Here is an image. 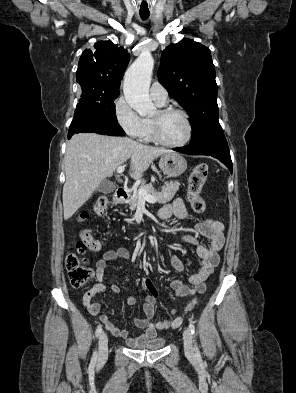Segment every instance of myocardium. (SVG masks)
I'll use <instances>...</instances> for the list:
<instances>
[{
    "label": "myocardium",
    "mask_w": 296,
    "mask_h": 393,
    "mask_svg": "<svg viewBox=\"0 0 296 393\" xmlns=\"http://www.w3.org/2000/svg\"><path fill=\"white\" fill-rule=\"evenodd\" d=\"M171 113H178V114L183 116V118H184V120L186 122V125H187L186 137L182 141L177 142V143H170V142L165 141L161 137V134H160V122H159V119L152 118L151 119V124H152L153 139H154V141L156 143H158L159 145H162L164 147L179 148V147H182V146L186 145L191 140L192 135H193V126H192V122H191V119H190V116L188 115V113L186 111L180 109V108H177V107H166V108H161V109L158 110V114H159L160 118L164 117V116H166L168 114H171Z\"/></svg>",
    "instance_id": "f54148a6"
}]
</instances>
